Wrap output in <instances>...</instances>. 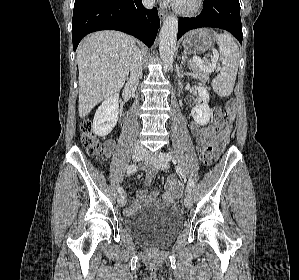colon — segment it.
Wrapping results in <instances>:
<instances>
[{"label":"colon","mask_w":299,"mask_h":280,"mask_svg":"<svg viewBox=\"0 0 299 280\" xmlns=\"http://www.w3.org/2000/svg\"><path fill=\"white\" fill-rule=\"evenodd\" d=\"M228 110H232L234 108V101H229L227 103ZM228 121V114L217 108L214 113V121L213 127L216 132L223 130L226 123ZM81 143L86 151L95 157H100L103 153L101 143L93 130L92 123L90 121H84L81 124ZM213 149L211 146H207L203 149L201 153V160L203 164L208 165L212 161ZM174 209L181 213L183 211V203L181 201H177L174 204Z\"/></svg>","instance_id":"colon-1"}]
</instances>
